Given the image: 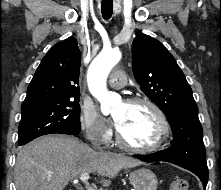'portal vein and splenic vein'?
I'll return each instance as SVG.
<instances>
[{
	"instance_id": "1",
	"label": "portal vein and splenic vein",
	"mask_w": 221,
	"mask_h": 190,
	"mask_svg": "<svg viewBox=\"0 0 221 190\" xmlns=\"http://www.w3.org/2000/svg\"><path fill=\"white\" fill-rule=\"evenodd\" d=\"M89 178V173H82L80 175V180L83 182V183H87V180ZM87 190H94L92 189L91 187H88Z\"/></svg>"
}]
</instances>
